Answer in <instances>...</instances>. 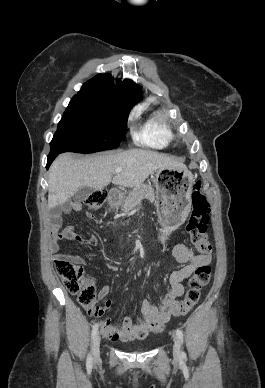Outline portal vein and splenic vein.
Instances as JSON below:
<instances>
[{
  "label": "portal vein and splenic vein",
  "instance_id": "18ae733b",
  "mask_svg": "<svg viewBox=\"0 0 265 388\" xmlns=\"http://www.w3.org/2000/svg\"><path fill=\"white\" fill-rule=\"evenodd\" d=\"M123 168H116L115 170V174H120V172H122Z\"/></svg>",
  "mask_w": 265,
  "mask_h": 388
}]
</instances>
